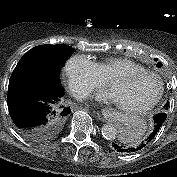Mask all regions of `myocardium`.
Returning <instances> with one entry per match:
<instances>
[{
  "instance_id": "myocardium-1",
  "label": "myocardium",
  "mask_w": 177,
  "mask_h": 177,
  "mask_svg": "<svg viewBox=\"0 0 177 177\" xmlns=\"http://www.w3.org/2000/svg\"><path fill=\"white\" fill-rule=\"evenodd\" d=\"M139 76H150L153 77L157 80L158 82V91L155 94V96L150 99L148 102L138 105V106H126L120 103H116L117 106L126 112H131V113H142L145 112L149 109H151L153 106H155L159 100L161 99L163 92H164V82L161 78V76L153 71L149 70H131L123 73H119L114 75L109 79L108 85L111 88L116 82L129 79V78H134V77H139Z\"/></svg>"
}]
</instances>
